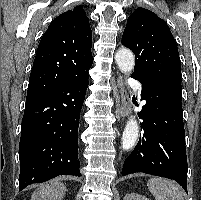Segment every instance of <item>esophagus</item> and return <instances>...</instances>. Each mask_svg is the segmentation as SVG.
I'll use <instances>...</instances> for the list:
<instances>
[{
  "label": "esophagus",
  "instance_id": "1",
  "mask_svg": "<svg viewBox=\"0 0 201 200\" xmlns=\"http://www.w3.org/2000/svg\"><path fill=\"white\" fill-rule=\"evenodd\" d=\"M116 86L118 89V99H119L118 104L116 106V113L119 117H126L127 116L126 106L128 104V95L121 77L117 78Z\"/></svg>",
  "mask_w": 201,
  "mask_h": 200
}]
</instances>
